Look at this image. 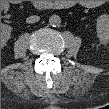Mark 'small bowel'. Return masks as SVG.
<instances>
[{"label": "small bowel", "instance_id": "small-bowel-1", "mask_svg": "<svg viewBox=\"0 0 109 109\" xmlns=\"http://www.w3.org/2000/svg\"><path fill=\"white\" fill-rule=\"evenodd\" d=\"M87 5L90 6V7H94V6H95V5L92 4V3H88Z\"/></svg>", "mask_w": 109, "mask_h": 109}]
</instances>
